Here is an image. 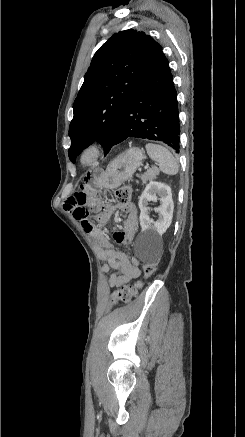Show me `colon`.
Listing matches in <instances>:
<instances>
[{
    "mask_svg": "<svg viewBox=\"0 0 245 437\" xmlns=\"http://www.w3.org/2000/svg\"><path fill=\"white\" fill-rule=\"evenodd\" d=\"M132 196V188L130 186H123L119 188L115 193V199L119 204H127L130 202ZM157 270L156 263H146L143 265V278L147 279L151 277ZM142 286V281H138L133 286H123L119 290L115 291L111 298L116 304L118 302L128 303L137 294L138 290Z\"/></svg>",
    "mask_w": 245,
    "mask_h": 437,
    "instance_id": "1",
    "label": "colon"
}]
</instances>
